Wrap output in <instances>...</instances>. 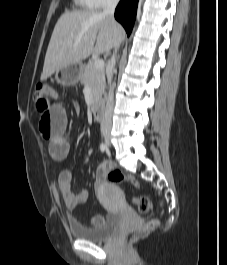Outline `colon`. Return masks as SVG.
<instances>
[{
    "label": "colon",
    "mask_w": 227,
    "mask_h": 265,
    "mask_svg": "<svg viewBox=\"0 0 227 265\" xmlns=\"http://www.w3.org/2000/svg\"><path fill=\"white\" fill-rule=\"evenodd\" d=\"M51 89L48 85L43 83H38L35 88V99H36V106L40 116H42L43 109H49V100L51 97ZM107 178L110 182L113 183H122L127 182L136 187H140V182L133 176L125 175L118 170H112L107 173ZM133 203L137 206L138 210L142 213H147L152 204L150 200L146 197H136L133 198ZM159 225L158 220H151L145 224L143 227L144 232L153 231ZM133 236H130L129 239L131 240Z\"/></svg>",
    "instance_id": "1"
}]
</instances>
